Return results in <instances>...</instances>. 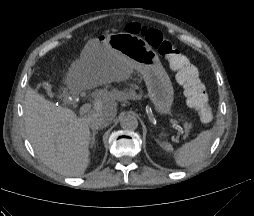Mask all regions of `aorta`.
Segmentation results:
<instances>
[{
    "mask_svg": "<svg viewBox=\"0 0 254 216\" xmlns=\"http://www.w3.org/2000/svg\"><path fill=\"white\" fill-rule=\"evenodd\" d=\"M120 125L124 130L132 131L138 127V120L132 114H125L120 119Z\"/></svg>",
    "mask_w": 254,
    "mask_h": 216,
    "instance_id": "762f6f07",
    "label": "aorta"
}]
</instances>
